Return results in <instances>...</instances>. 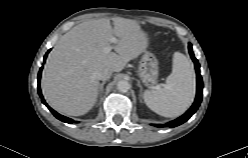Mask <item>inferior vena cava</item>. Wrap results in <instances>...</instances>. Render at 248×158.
I'll return each mask as SVG.
<instances>
[{
    "label": "inferior vena cava",
    "instance_id": "inferior-vena-cava-1",
    "mask_svg": "<svg viewBox=\"0 0 248 158\" xmlns=\"http://www.w3.org/2000/svg\"><path fill=\"white\" fill-rule=\"evenodd\" d=\"M112 73H113L112 69L105 68L99 73V79L105 81L111 77Z\"/></svg>",
    "mask_w": 248,
    "mask_h": 158
}]
</instances>
